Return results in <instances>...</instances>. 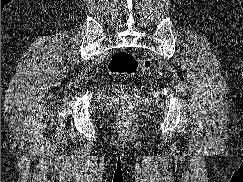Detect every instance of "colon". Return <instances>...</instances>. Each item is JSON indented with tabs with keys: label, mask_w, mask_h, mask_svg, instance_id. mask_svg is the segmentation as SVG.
I'll list each match as a JSON object with an SVG mask.
<instances>
[{
	"label": "colon",
	"mask_w": 243,
	"mask_h": 182,
	"mask_svg": "<svg viewBox=\"0 0 243 182\" xmlns=\"http://www.w3.org/2000/svg\"><path fill=\"white\" fill-rule=\"evenodd\" d=\"M150 61L145 58H137L127 51L115 53L109 62L110 72L121 76H133L144 73L150 69ZM114 89L123 103L132 106L137 103L141 96L139 92L123 84H115Z\"/></svg>",
	"instance_id": "colon-1"
}]
</instances>
